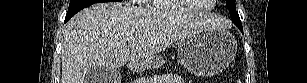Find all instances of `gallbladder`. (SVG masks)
Segmentation results:
<instances>
[{"label": "gallbladder", "instance_id": "gallbladder-1", "mask_svg": "<svg viewBox=\"0 0 307 83\" xmlns=\"http://www.w3.org/2000/svg\"><path fill=\"white\" fill-rule=\"evenodd\" d=\"M120 73L117 70L103 67L90 69L86 75L85 83H119Z\"/></svg>", "mask_w": 307, "mask_h": 83}]
</instances>
